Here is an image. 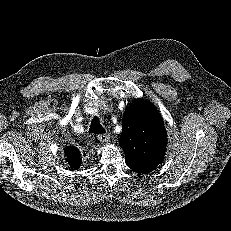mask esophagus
Here are the masks:
<instances>
[{
    "label": "esophagus",
    "instance_id": "obj_1",
    "mask_svg": "<svg viewBox=\"0 0 231 231\" xmlns=\"http://www.w3.org/2000/svg\"><path fill=\"white\" fill-rule=\"evenodd\" d=\"M110 139V135L109 133H104V134H99L98 135V140L101 142V143H107Z\"/></svg>",
    "mask_w": 231,
    "mask_h": 231
}]
</instances>
